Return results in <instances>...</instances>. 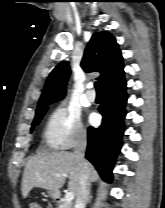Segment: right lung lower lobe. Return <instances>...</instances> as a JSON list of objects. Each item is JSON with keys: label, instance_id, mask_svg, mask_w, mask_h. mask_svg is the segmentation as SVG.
<instances>
[{"label": "right lung lower lobe", "instance_id": "obj_1", "mask_svg": "<svg viewBox=\"0 0 165 208\" xmlns=\"http://www.w3.org/2000/svg\"><path fill=\"white\" fill-rule=\"evenodd\" d=\"M103 103L99 111L103 116L98 128H88L86 158L96 167L100 176L112 180V169L120 152L124 132L127 102L124 73L103 87Z\"/></svg>", "mask_w": 165, "mask_h": 208}]
</instances>
